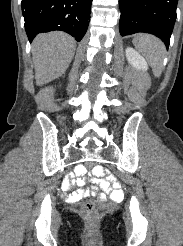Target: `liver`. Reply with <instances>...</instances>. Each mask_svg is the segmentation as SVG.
<instances>
[{"mask_svg": "<svg viewBox=\"0 0 183 246\" xmlns=\"http://www.w3.org/2000/svg\"><path fill=\"white\" fill-rule=\"evenodd\" d=\"M76 42L63 32L39 34L32 43L36 84L41 86L61 77L74 56Z\"/></svg>", "mask_w": 183, "mask_h": 246, "instance_id": "6515ba94", "label": "liver"}]
</instances>
